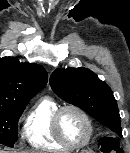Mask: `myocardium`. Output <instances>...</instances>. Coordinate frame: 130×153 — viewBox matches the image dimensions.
Masks as SVG:
<instances>
[{
    "instance_id": "obj_1",
    "label": "myocardium",
    "mask_w": 130,
    "mask_h": 153,
    "mask_svg": "<svg viewBox=\"0 0 130 153\" xmlns=\"http://www.w3.org/2000/svg\"><path fill=\"white\" fill-rule=\"evenodd\" d=\"M67 110L76 111L78 114H80L83 117V119L85 120V122L87 124V127H88L87 136H86L85 140L80 144H73V143L69 142L61 132V128H60L61 116ZM52 128H53V132H54L56 138L58 139V141L62 145H64L65 147L69 148L70 150L83 149L84 147H86L89 144V142L92 138V135H93V124H92V120H91L90 116L83 108H81L80 106L75 105V104H67V105L60 106L55 111V113L53 114V117H52Z\"/></svg>"
}]
</instances>
